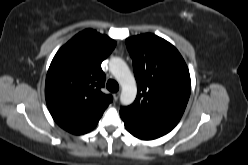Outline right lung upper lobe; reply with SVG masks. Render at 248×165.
<instances>
[{
    "label": "right lung upper lobe",
    "instance_id": "1",
    "mask_svg": "<svg viewBox=\"0 0 248 165\" xmlns=\"http://www.w3.org/2000/svg\"><path fill=\"white\" fill-rule=\"evenodd\" d=\"M116 43L106 35L87 29L74 36L55 55L49 67L45 97L55 122L81 135L97 125L112 96L100 91L105 74L102 61Z\"/></svg>",
    "mask_w": 248,
    "mask_h": 165
}]
</instances>
